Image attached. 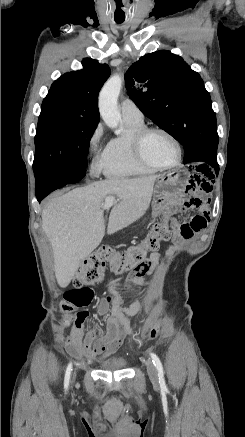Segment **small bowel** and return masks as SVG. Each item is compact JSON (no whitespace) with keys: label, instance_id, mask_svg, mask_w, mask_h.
Segmentation results:
<instances>
[{"label":"small bowel","instance_id":"c3829d8e","mask_svg":"<svg viewBox=\"0 0 245 437\" xmlns=\"http://www.w3.org/2000/svg\"><path fill=\"white\" fill-rule=\"evenodd\" d=\"M188 177L189 183L185 186L186 191H198L200 194L189 197L184 205L187 208L198 209L204 205L206 195L209 192H212L213 186L208 180H215L217 174L212 166H191ZM177 205L178 203L172 204L173 207H176ZM205 213L206 211L202 214L192 216L185 222H180L178 220L172 222L174 236L172 244L167 248V254L173 253L183 240L191 238L194 233H198L206 228L208 217ZM160 259L161 257L158 253H151L146 260V268L134 272L127 277V289H131L134 284H144L146 282V277L151 273L152 267L156 266ZM118 283L119 281L116 279H109L107 286L109 288H115ZM110 301L111 299L109 297L103 299L98 307L99 315L108 317L106 333L102 337L96 339L95 332L90 330L82 342L80 340V334L73 336L67 340V345L69 347H80L83 354L88 358L107 355L122 347L125 337L139 329V326L133 322L131 316H129L121 307H115L109 315ZM146 310L147 312H152L153 307L147 306ZM83 323L84 322L77 324V327L81 329Z\"/></svg>","mask_w":245,"mask_h":437}]
</instances>
